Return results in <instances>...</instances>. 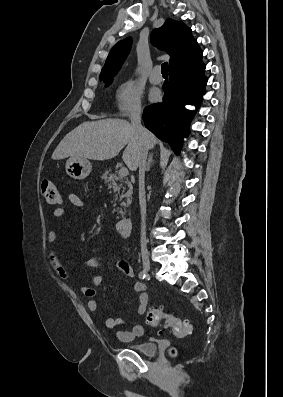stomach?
<instances>
[{"label": "stomach", "mask_w": 283, "mask_h": 397, "mask_svg": "<svg viewBox=\"0 0 283 397\" xmlns=\"http://www.w3.org/2000/svg\"><path fill=\"white\" fill-rule=\"evenodd\" d=\"M65 169L68 176L81 180L90 174L92 166L87 159L70 157L66 161Z\"/></svg>", "instance_id": "stomach-1"}]
</instances>
